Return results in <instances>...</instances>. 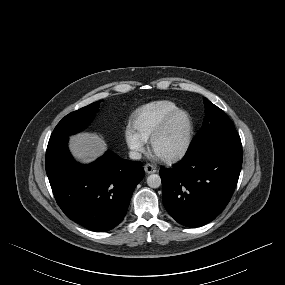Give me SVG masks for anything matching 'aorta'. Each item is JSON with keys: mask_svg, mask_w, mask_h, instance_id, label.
<instances>
[{"mask_svg": "<svg viewBox=\"0 0 285 285\" xmlns=\"http://www.w3.org/2000/svg\"><path fill=\"white\" fill-rule=\"evenodd\" d=\"M161 178L158 174H151L147 178V185L151 188H158L161 186Z\"/></svg>", "mask_w": 285, "mask_h": 285, "instance_id": "762f6f07", "label": "aorta"}]
</instances>
